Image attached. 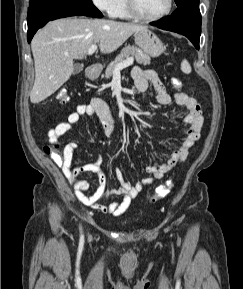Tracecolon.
<instances>
[{
    "instance_id": "1",
    "label": "colon",
    "mask_w": 243,
    "mask_h": 289,
    "mask_svg": "<svg viewBox=\"0 0 243 289\" xmlns=\"http://www.w3.org/2000/svg\"><path fill=\"white\" fill-rule=\"evenodd\" d=\"M171 82L175 88H181L183 86V83L181 82V80L177 78H172ZM56 97L62 103H66L69 101V95L66 89H60L57 92ZM58 148H59L58 144L46 146L45 151L51 155L52 159L57 165L61 166L64 162V159H63V156L58 152ZM172 188H173V182L171 180L167 181L164 185L159 186L154 192V194L150 196V201L154 203L159 199L165 198L166 196L169 195Z\"/></svg>"
}]
</instances>
